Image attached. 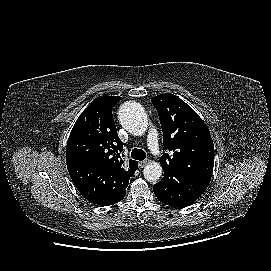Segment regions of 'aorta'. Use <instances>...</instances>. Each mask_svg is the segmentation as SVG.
<instances>
[{"label":"aorta","instance_id":"aorta-1","mask_svg":"<svg viewBox=\"0 0 271 271\" xmlns=\"http://www.w3.org/2000/svg\"><path fill=\"white\" fill-rule=\"evenodd\" d=\"M118 118L120 124L132 135L141 136L148 128V119L144 109L136 102H125L120 106ZM162 175V167L157 162H149L143 169L148 182H156Z\"/></svg>","mask_w":271,"mask_h":271}]
</instances>
